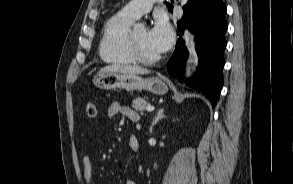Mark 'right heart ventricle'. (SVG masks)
<instances>
[{
    "label": "right heart ventricle",
    "mask_w": 293,
    "mask_h": 184,
    "mask_svg": "<svg viewBox=\"0 0 293 184\" xmlns=\"http://www.w3.org/2000/svg\"><path fill=\"white\" fill-rule=\"evenodd\" d=\"M135 18L120 11L104 25L99 43V55L106 63L131 64L134 62L128 45V37Z\"/></svg>",
    "instance_id": "obj_1"
}]
</instances>
